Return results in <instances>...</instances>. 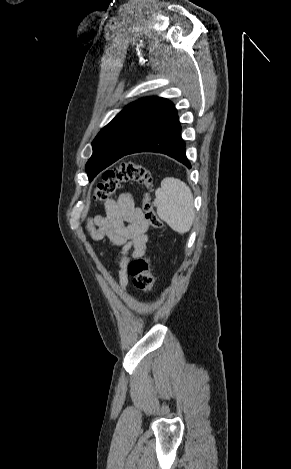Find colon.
Wrapping results in <instances>:
<instances>
[{
  "mask_svg": "<svg viewBox=\"0 0 291 469\" xmlns=\"http://www.w3.org/2000/svg\"><path fill=\"white\" fill-rule=\"evenodd\" d=\"M134 181L142 185L149 192L152 187V175L150 170L141 163L126 162L118 167L107 170L94 190L93 197L97 201H104L111 197L122 183ZM143 199L144 217L149 226L158 233L163 224L152 204L149 193ZM151 260L149 256L133 259L129 266V274L133 278L134 286L141 291L150 292L155 285V277L151 272Z\"/></svg>",
  "mask_w": 291,
  "mask_h": 469,
  "instance_id": "obj_1",
  "label": "colon"
}]
</instances>
